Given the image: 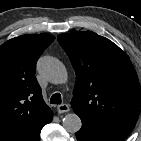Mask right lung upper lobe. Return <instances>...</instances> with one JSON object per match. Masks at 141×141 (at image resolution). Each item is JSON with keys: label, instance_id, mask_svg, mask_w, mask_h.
<instances>
[{"label": "right lung upper lobe", "instance_id": "1", "mask_svg": "<svg viewBox=\"0 0 141 141\" xmlns=\"http://www.w3.org/2000/svg\"><path fill=\"white\" fill-rule=\"evenodd\" d=\"M54 39L50 34H30L0 46V141H35L53 119L35 69Z\"/></svg>", "mask_w": 141, "mask_h": 141}]
</instances>
